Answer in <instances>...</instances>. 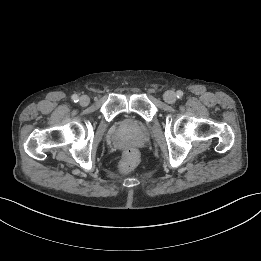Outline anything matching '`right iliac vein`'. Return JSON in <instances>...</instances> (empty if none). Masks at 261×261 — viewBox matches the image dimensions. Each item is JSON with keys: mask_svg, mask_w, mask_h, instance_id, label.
Instances as JSON below:
<instances>
[{"mask_svg": "<svg viewBox=\"0 0 261 261\" xmlns=\"http://www.w3.org/2000/svg\"><path fill=\"white\" fill-rule=\"evenodd\" d=\"M89 97L88 96H86V95H83V96H81L80 97V99H79V104L81 105V106H87L88 104H89Z\"/></svg>", "mask_w": 261, "mask_h": 261, "instance_id": "63e3f726", "label": "right iliac vein"}]
</instances>
